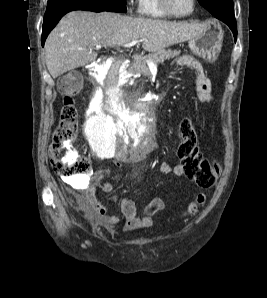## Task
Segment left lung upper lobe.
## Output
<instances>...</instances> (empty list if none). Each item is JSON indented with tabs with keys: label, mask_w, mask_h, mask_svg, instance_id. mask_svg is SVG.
<instances>
[{
	"label": "left lung upper lobe",
	"mask_w": 267,
	"mask_h": 298,
	"mask_svg": "<svg viewBox=\"0 0 267 298\" xmlns=\"http://www.w3.org/2000/svg\"><path fill=\"white\" fill-rule=\"evenodd\" d=\"M199 3L218 19L234 15L233 0H198Z\"/></svg>",
	"instance_id": "1"
}]
</instances>
